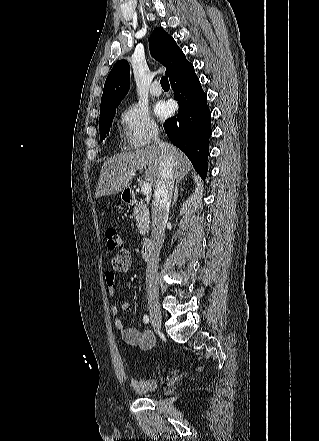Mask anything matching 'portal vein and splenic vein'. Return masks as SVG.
<instances>
[{
	"label": "portal vein and splenic vein",
	"mask_w": 319,
	"mask_h": 441,
	"mask_svg": "<svg viewBox=\"0 0 319 441\" xmlns=\"http://www.w3.org/2000/svg\"><path fill=\"white\" fill-rule=\"evenodd\" d=\"M131 172L132 173H135L136 172V170L135 169H133V170H131ZM151 184L150 183H148V182H144L143 184H142V186H141V192H142V194H144V195H148L150 192H151Z\"/></svg>",
	"instance_id": "portal-vein-and-splenic-vein-1"
}]
</instances>
